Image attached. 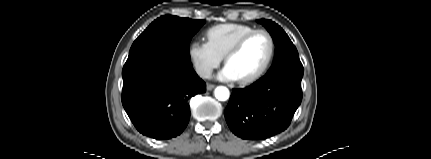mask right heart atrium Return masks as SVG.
Wrapping results in <instances>:
<instances>
[{
  "mask_svg": "<svg viewBox=\"0 0 431 159\" xmlns=\"http://www.w3.org/2000/svg\"><path fill=\"white\" fill-rule=\"evenodd\" d=\"M188 54L196 72L202 78H209L223 59L207 41L201 39L193 40L189 44Z\"/></svg>",
  "mask_w": 431,
  "mask_h": 159,
  "instance_id": "1",
  "label": "right heart atrium"
}]
</instances>
